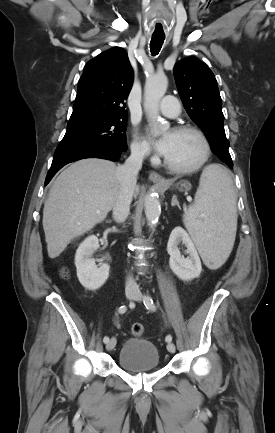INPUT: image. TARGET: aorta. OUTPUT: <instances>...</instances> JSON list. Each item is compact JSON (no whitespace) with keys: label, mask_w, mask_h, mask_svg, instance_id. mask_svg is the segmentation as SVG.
<instances>
[{"label":"aorta","mask_w":275,"mask_h":433,"mask_svg":"<svg viewBox=\"0 0 275 433\" xmlns=\"http://www.w3.org/2000/svg\"><path fill=\"white\" fill-rule=\"evenodd\" d=\"M167 78L164 75H155L146 80L144 89V109L148 119L154 127V134L161 135L165 133L170 125L163 122L159 116V103L167 90ZM145 215L150 228H154L161 212L160 201L158 196L151 193L145 197Z\"/></svg>","instance_id":"762f6f07"}]
</instances>
